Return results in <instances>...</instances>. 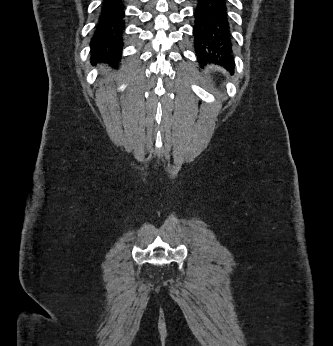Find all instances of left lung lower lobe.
<instances>
[{
  "label": "left lung lower lobe",
  "instance_id": "0a47b994",
  "mask_svg": "<svg viewBox=\"0 0 333 346\" xmlns=\"http://www.w3.org/2000/svg\"><path fill=\"white\" fill-rule=\"evenodd\" d=\"M194 17V45L200 62H213L233 72L226 0H198Z\"/></svg>",
  "mask_w": 333,
  "mask_h": 346
}]
</instances>
